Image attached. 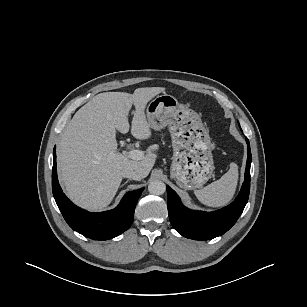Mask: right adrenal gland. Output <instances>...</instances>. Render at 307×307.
Masks as SVG:
<instances>
[{
	"mask_svg": "<svg viewBox=\"0 0 307 307\" xmlns=\"http://www.w3.org/2000/svg\"><path fill=\"white\" fill-rule=\"evenodd\" d=\"M129 181H130V179H127L126 182L124 184H122V186L127 184Z\"/></svg>",
	"mask_w": 307,
	"mask_h": 307,
	"instance_id": "right-adrenal-gland-1",
	"label": "right adrenal gland"
}]
</instances>
